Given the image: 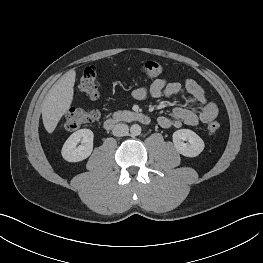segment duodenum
I'll list each match as a JSON object with an SVG mask.
<instances>
[{"label":"duodenum","instance_id":"duodenum-1","mask_svg":"<svg viewBox=\"0 0 263 263\" xmlns=\"http://www.w3.org/2000/svg\"><path fill=\"white\" fill-rule=\"evenodd\" d=\"M131 119L142 123V124H149L150 123V117L144 113L141 112H134L131 114ZM120 122V119L118 118H114V117H110L107 118L106 120L103 121L102 127L105 130H111L112 128H114L118 123Z\"/></svg>","mask_w":263,"mask_h":263}]
</instances>
